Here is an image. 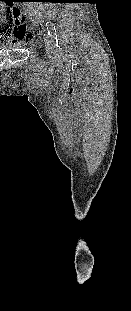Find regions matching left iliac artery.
<instances>
[{"mask_svg":"<svg viewBox=\"0 0 131 311\" xmlns=\"http://www.w3.org/2000/svg\"><path fill=\"white\" fill-rule=\"evenodd\" d=\"M46 26H47L48 35L51 39V43L53 44V47L60 48L58 45V35H57L55 25L52 22H47Z\"/></svg>","mask_w":131,"mask_h":311,"instance_id":"left-iliac-artery-1","label":"left iliac artery"}]
</instances>
